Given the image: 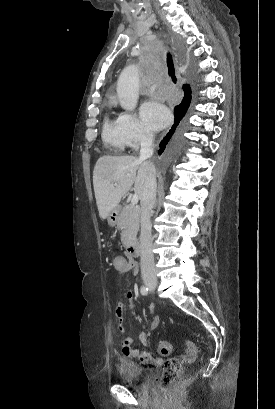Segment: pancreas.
Instances as JSON below:
<instances>
[{"mask_svg": "<svg viewBox=\"0 0 275 409\" xmlns=\"http://www.w3.org/2000/svg\"><path fill=\"white\" fill-rule=\"evenodd\" d=\"M139 217L140 209L138 205H136V207L135 205H126L121 211L118 227H123L121 243L125 249L130 247L132 241L136 239V235L139 231Z\"/></svg>", "mask_w": 275, "mask_h": 409, "instance_id": "pancreas-1", "label": "pancreas"}]
</instances>
